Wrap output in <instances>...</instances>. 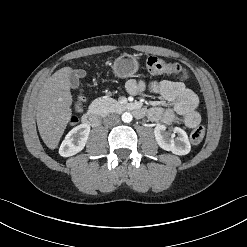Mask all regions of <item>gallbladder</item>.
I'll return each mask as SVG.
<instances>
[{"label": "gallbladder", "mask_w": 247, "mask_h": 247, "mask_svg": "<svg viewBox=\"0 0 247 247\" xmlns=\"http://www.w3.org/2000/svg\"><path fill=\"white\" fill-rule=\"evenodd\" d=\"M80 76H85V72L79 71V72H73L70 74V77H69L70 85L73 89H76L79 87V84H80L79 77Z\"/></svg>", "instance_id": "obj_1"}]
</instances>
